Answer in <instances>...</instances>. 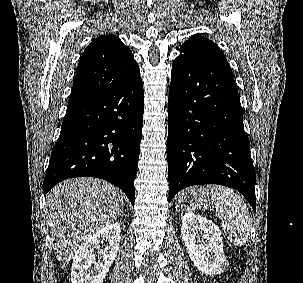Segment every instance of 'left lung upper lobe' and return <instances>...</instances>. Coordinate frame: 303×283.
Returning <instances> with one entry per match:
<instances>
[{
    "label": "left lung upper lobe",
    "mask_w": 303,
    "mask_h": 283,
    "mask_svg": "<svg viewBox=\"0 0 303 283\" xmlns=\"http://www.w3.org/2000/svg\"><path fill=\"white\" fill-rule=\"evenodd\" d=\"M180 52L183 54H180L179 56L187 57H204L209 55L224 56L216 43L199 34L191 36L190 39L185 41L180 48Z\"/></svg>",
    "instance_id": "1"
}]
</instances>
